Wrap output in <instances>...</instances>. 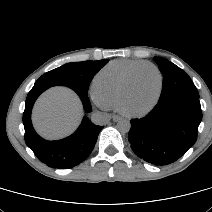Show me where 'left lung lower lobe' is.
<instances>
[{"label":"left lung lower lobe","mask_w":212,"mask_h":212,"mask_svg":"<svg viewBox=\"0 0 212 212\" xmlns=\"http://www.w3.org/2000/svg\"><path fill=\"white\" fill-rule=\"evenodd\" d=\"M201 120L199 98L172 96L158 101L147 116L131 120L128 140L139 158L154 165H167L193 146Z\"/></svg>","instance_id":"obj_1"}]
</instances>
